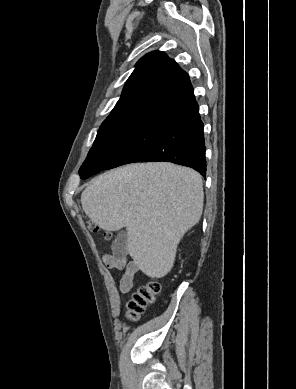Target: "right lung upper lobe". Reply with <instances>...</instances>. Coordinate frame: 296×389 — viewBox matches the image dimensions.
<instances>
[{"mask_svg": "<svg viewBox=\"0 0 296 389\" xmlns=\"http://www.w3.org/2000/svg\"><path fill=\"white\" fill-rule=\"evenodd\" d=\"M199 109L189 76L163 52L146 54L136 64L108 119L159 114L178 119Z\"/></svg>", "mask_w": 296, "mask_h": 389, "instance_id": "1", "label": "right lung upper lobe"}]
</instances>
